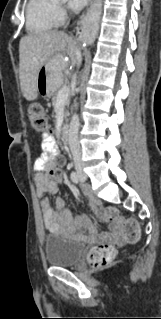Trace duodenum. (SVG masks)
<instances>
[{
    "label": "duodenum",
    "mask_w": 161,
    "mask_h": 319,
    "mask_svg": "<svg viewBox=\"0 0 161 319\" xmlns=\"http://www.w3.org/2000/svg\"><path fill=\"white\" fill-rule=\"evenodd\" d=\"M69 129H70V126L68 123H64L62 126H61V130H60V136H61V140L63 142H67L68 139H69Z\"/></svg>",
    "instance_id": "410a0bca"
}]
</instances>
